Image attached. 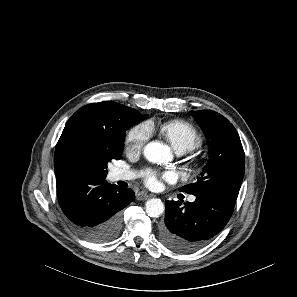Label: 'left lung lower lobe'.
Listing matches in <instances>:
<instances>
[{"mask_svg": "<svg viewBox=\"0 0 297 297\" xmlns=\"http://www.w3.org/2000/svg\"><path fill=\"white\" fill-rule=\"evenodd\" d=\"M193 203H165V223L160 239L170 249L191 253L209 242L229 221L238 192L213 190L195 195Z\"/></svg>", "mask_w": 297, "mask_h": 297, "instance_id": "0a47b994", "label": "left lung lower lobe"}]
</instances>
